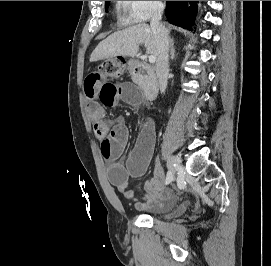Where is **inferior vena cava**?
I'll return each instance as SVG.
<instances>
[{
    "label": "inferior vena cava",
    "instance_id": "602c4592",
    "mask_svg": "<svg viewBox=\"0 0 271 266\" xmlns=\"http://www.w3.org/2000/svg\"><path fill=\"white\" fill-rule=\"evenodd\" d=\"M164 6L158 4L153 10L150 27L155 35L157 46L156 74L159 80L161 93H164L167 87V77L169 72V36L166 28L161 24Z\"/></svg>",
    "mask_w": 271,
    "mask_h": 266
}]
</instances>
